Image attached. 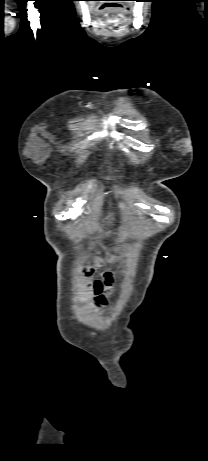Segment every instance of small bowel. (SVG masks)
Instances as JSON below:
<instances>
[{"label":"small bowel","instance_id":"small-bowel-1","mask_svg":"<svg viewBox=\"0 0 208 461\" xmlns=\"http://www.w3.org/2000/svg\"><path fill=\"white\" fill-rule=\"evenodd\" d=\"M112 295V281L110 279H106L104 293L97 297L94 302V306L97 309V311L102 312L103 308L108 304V301L112 297Z\"/></svg>","mask_w":208,"mask_h":461}]
</instances>
